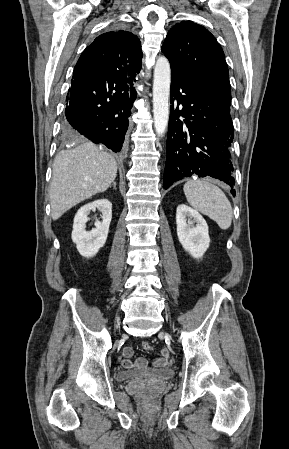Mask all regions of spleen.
Listing matches in <instances>:
<instances>
[{"mask_svg": "<svg viewBox=\"0 0 289 449\" xmlns=\"http://www.w3.org/2000/svg\"><path fill=\"white\" fill-rule=\"evenodd\" d=\"M188 203L214 220L222 230H227L232 222V207L224 192L216 185L191 179L183 187Z\"/></svg>", "mask_w": 289, "mask_h": 449, "instance_id": "1", "label": "spleen"}]
</instances>
